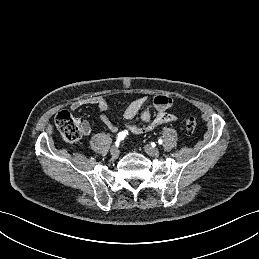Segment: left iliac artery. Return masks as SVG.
<instances>
[{"instance_id": "left-iliac-artery-1", "label": "left iliac artery", "mask_w": 259, "mask_h": 259, "mask_svg": "<svg viewBox=\"0 0 259 259\" xmlns=\"http://www.w3.org/2000/svg\"><path fill=\"white\" fill-rule=\"evenodd\" d=\"M158 143H159V144H162V143H163V141H162L161 139H159V140H158Z\"/></svg>"}]
</instances>
